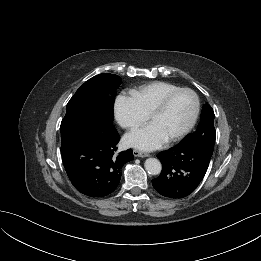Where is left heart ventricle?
<instances>
[{
	"mask_svg": "<svg viewBox=\"0 0 261 261\" xmlns=\"http://www.w3.org/2000/svg\"><path fill=\"white\" fill-rule=\"evenodd\" d=\"M194 110V98L189 93L176 96L168 108L154 116L150 122L157 125L167 138L182 131L191 119Z\"/></svg>",
	"mask_w": 261,
	"mask_h": 261,
	"instance_id": "left-heart-ventricle-1",
	"label": "left heart ventricle"
}]
</instances>
